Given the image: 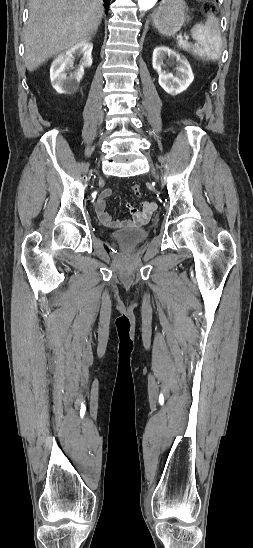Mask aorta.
I'll use <instances>...</instances> for the list:
<instances>
[{
  "label": "aorta",
  "mask_w": 253,
  "mask_h": 548,
  "mask_svg": "<svg viewBox=\"0 0 253 548\" xmlns=\"http://www.w3.org/2000/svg\"><path fill=\"white\" fill-rule=\"evenodd\" d=\"M158 0H138V5L141 10H149L156 5Z\"/></svg>",
  "instance_id": "1"
}]
</instances>
